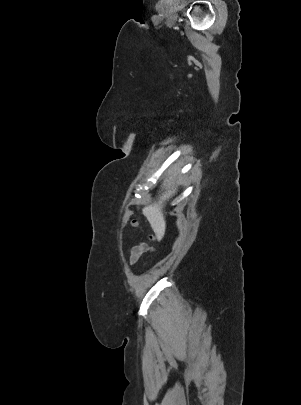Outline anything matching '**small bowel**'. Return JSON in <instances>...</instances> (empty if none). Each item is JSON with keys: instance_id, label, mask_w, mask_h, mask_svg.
<instances>
[{"instance_id": "1", "label": "small bowel", "mask_w": 301, "mask_h": 405, "mask_svg": "<svg viewBox=\"0 0 301 405\" xmlns=\"http://www.w3.org/2000/svg\"><path fill=\"white\" fill-rule=\"evenodd\" d=\"M146 245L143 243H138L131 248L130 256H129V263L134 265L140 256L145 252Z\"/></svg>"}]
</instances>
